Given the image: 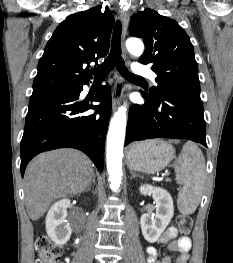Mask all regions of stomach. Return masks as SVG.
Instances as JSON below:
<instances>
[{
  "label": "stomach",
  "mask_w": 233,
  "mask_h": 263,
  "mask_svg": "<svg viewBox=\"0 0 233 263\" xmlns=\"http://www.w3.org/2000/svg\"><path fill=\"white\" fill-rule=\"evenodd\" d=\"M174 154L172 145L162 140L136 142L127 153V164L131 170L153 174L165 168Z\"/></svg>",
  "instance_id": "obj_1"
}]
</instances>
